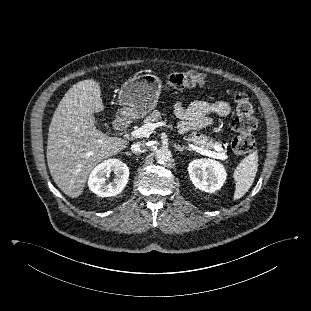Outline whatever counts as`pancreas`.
I'll list each match as a JSON object with an SVG mask.
<instances>
[{
    "label": "pancreas",
    "instance_id": "obj_1",
    "mask_svg": "<svg viewBox=\"0 0 311 311\" xmlns=\"http://www.w3.org/2000/svg\"><path fill=\"white\" fill-rule=\"evenodd\" d=\"M163 113L159 110H153L150 114L144 119L145 124L154 123L162 119ZM188 141L193 142L195 145L202 147L203 149H213L215 145H221L220 143L210 139L205 134L197 135V132L194 131L189 134Z\"/></svg>",
    "mask_w": 311,
    "mask_h": 311
}]
</instances>
